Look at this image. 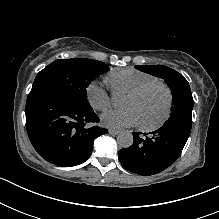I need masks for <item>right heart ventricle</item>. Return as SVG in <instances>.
<instances>
[{
	"label": "right heart ventricle",
	"mask_w": 219,
	"mask_h": 219,
	"mask_svg": "<svg viewBox=\"0 0 219 219\" xmlns=\"http://www.w3.org/2000/svg\"><path fill=\"white\" fill-rule=\"evenodd\" d=\"M107 81L113 94L116 95L120 92L127 94L146 83L159 81V79L135 68H125L111 72Z\"/></svg>",
	"instance_id": "obj_1"
}]
</instances>
